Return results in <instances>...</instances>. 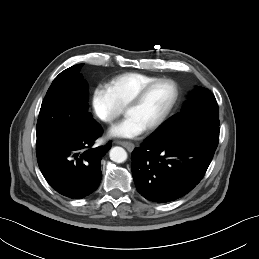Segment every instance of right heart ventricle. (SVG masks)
I'll return each instance as SVG.
<instances>
[{
	"label": "right heart ventricle",
	"instance_id": "e07e8e85",
	"mask_svg": "<svg viewBox=\"0 0 259 259\" xmlns=\"http://www.w3.org/2000/svg\"><path fill=\"white\" fill-rule=\"evenodd\" d=\"M157 79L155 76L128 72L118 75L107 83V89L119 107H124L127 101L144 85Z\"/></svg>",
	"mask_w": 259,
	"mask_h": 259
}]
</instances>
